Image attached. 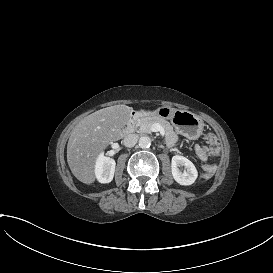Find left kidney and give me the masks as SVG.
<instances>
[{"instance_id": "left-kidney-1", "label": "left kidney", "mask_w": 273, "mask_h": 273, "mask_svg": "<svg viewBox=\"0 0 273 273\" xmlns=\"http://www.w3.org/2000/svg\"><path fill=\"white\" fill-rule=\"evenodd\" d=\"M184 166L186 171L181 172L178 166ZM172 177L179 185L190 186L195 183L198 178V171L195 165L184 156L175 155L171 161Z\"/></svg>"}]
</instances>
